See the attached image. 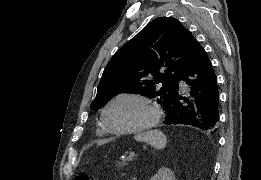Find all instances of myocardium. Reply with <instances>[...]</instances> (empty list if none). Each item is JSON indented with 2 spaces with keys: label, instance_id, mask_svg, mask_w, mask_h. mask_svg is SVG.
<instances>
[{
  "label": "myocardium",
  "instance_id": "1",
  "mask_svg": "<svg viewBox=\"0 0 261 180\" xmlns=\"http://www.w3.org/2000/svg\"><path fill=\"white\" fill-rule=\"evenodd\" d=\"M126 98L136 99L138 101H141L145 105H147L148 116L140 128L128 130V131H117L113 129L109 124L108 117H107L108 111L113 104H115L119 100L126 99ZM101 119H102L103 126L111 135L119 138H133V137L146 135L154 129L155 124L159 119V110L157 107V103L150 96L142 92L126 91V92L118 93L117 95L113 96L104 105L101 112Z\"/></svg>",
  "mask_w": 261,
  "mask_h": 180
}]
</instances>
